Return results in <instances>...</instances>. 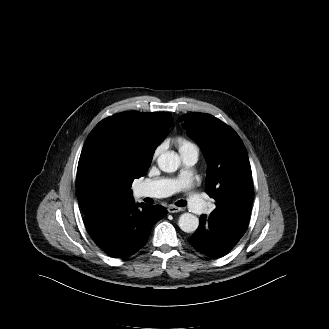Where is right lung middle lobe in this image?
<instances>
[{
	"label": "right lung middle lobe",
	"instance_id": "right-lung-middle-lobe-1",
	"mask_svg": "<svg viewBox=\"0 0 329 329\" xmlns=\"http://www.w3.org/2000/svg\"><path fill=\"white\" fill-rule=\"evenodd\" d=\"M128 160L130 161V158ZM91 186L95 191H104L108 187V182L103 177L95 176L91 181Z\"/></svg>",
	"mask_w": 329,
	"mask_h": 329
}]
</instances>
